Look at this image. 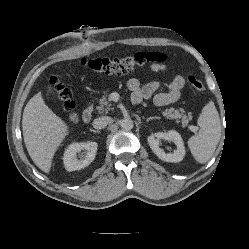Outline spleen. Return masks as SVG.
<instances>
[{"label": "spleen", "mask_w": 249, "mask_h": 249, "mask_svg": "<svg viewBox=\"0 0 249 249\" xmlns=\"http://www.w3.org/2000/svg\"><path fill=\"white\" fill-rule=\"evenodd\" d=\"M197 122L200 130L189 138L188 146L195 160L203 164L212 157L221 137V122L213 101L203 107Z\"/></svg>", "instance_id": "obj_1"}]
</instances>
